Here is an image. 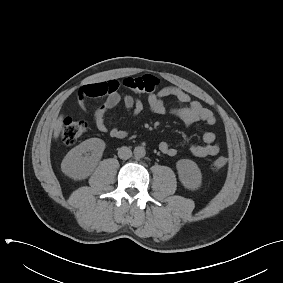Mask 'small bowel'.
I'll use <instances>...</instances> for the list:
<instances>
[{
    "label": "small bowel",
    "mask_w": 283,
    "mask_h": 283,
    "mask_svg": "<svg viewBox=\"0 0 283 283\" xmlns=\"http://www.w3.org/2000/svg\"><path fill=\"white\" fill-rule=\"evenodd\" d=\"M120 85L118 80L91 83L81 87L77 93V102L82 109H86L87 98L105 97L104 103L94 111L93 120L100 132L108 133L116 139L127 137L128 132L117 127H111L106 119L108 112L121 102L131 116H139L145 109L141 99L132 95L122 96L119 93ZM169 96L176 99L177 106L167 110L164 98ZM147 102L151 113L164 115L169 112L186 125L199 121L208 126H214L216 123V118L210 109L204 107L200 102L192 100L189 94L175 86L164 87L157 93L149 95ZM159 150L169 157H174L177 154V149L166 141L160 142ZM189 151L193 156L200 158L217 155L220 151V145L216 141V134L213 131L205 132L203 144H191Z\"/></svg>",
    "instance_id": "small-bowel-1"
}]
</instances>
